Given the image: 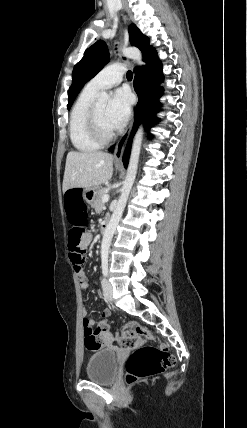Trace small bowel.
<instances>
[{"label": "small bowel", "instance_id": "small-bowel-1", "mask_svg": "<svg viewBox=\"0 0 247 428\" xmlns=\"http://www.w3.org/2000/svg\"><path fill=\"white\" fill-rule=\"evenodd\" d=\"M92 240H93V235L91 233H84L82 235V238L80 240V243H79L78 247L83 252H85L88 249V247L90 246V244L92 243ZM69 255H70V260L74 264V268H75V270H76V272L78 274L80 288L82 290H85V289H87L89 287V280H88V278L86 276V273L82 270L81 264L75 259V256H74V254H73V252L71 250H70V254ZM104 309H106V308H104ZM82 314H83L84 317H87V309H86V307L82 308ZM87 318L90 320V324H91L90 326L91 327L93 325H95L96 320L94 318H92V317H87ZM100 323L101 322H99L98 325ZM106 323H107V325H109L108 322H106ZM104 335H105V340H107L108 344L112 343V341H113L112 335L109 332L104 333Z\"/></svg>", "mask_w": 247, "mask_h": 428}]
</instances>
